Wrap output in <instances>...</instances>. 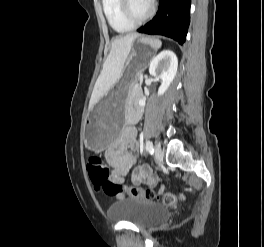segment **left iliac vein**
<instances>
[{
	"mask_svg": "<svg viewBox=\"0 0 264 247\" xmlns=\"http://www.w3.org/2000/svg\"><path fill=\"white\" fill-rule=\"evenodd\" d=\"M154 157L156 160L162 159V148L160 145H155L154 147Z\"/></svg>",
	"mask_w": 264,
	"mask_h": 247,
	"instance_id": "left-iliac-vein-1",
	"label": "left iliac vein"
}]
</instances>
